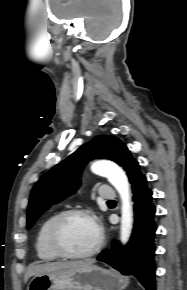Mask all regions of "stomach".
<instances>
[{"label":"stomach","mask_w":187,"mask_h":290,"mask_svg":"<svg viewBox=\"0 0 187 290\" xmlns=\"http://www.w3.org/2000/svg\"><path fill=\"white\" fill-rule=\"evenodd\" d=\"M129 279L95 264L36 275L27 290H124Z\"/></svg>","instance_id":"1"}]
</instances>
